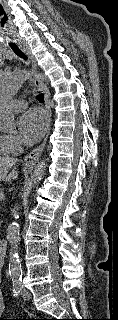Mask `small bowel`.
I'll return each mask as SVG.
<instances>
[{
    "mask_svg": "<svg viewBox=\"0 0 118 320\" xmlns=\"http://www.w3.org/2000/svg\"><path fill=\"white\" fill-rule=\"evenodd\" d=\"M1 270H2V266L0 265V284H1ZM3 310H4V301H3L2 290L0 288V316L2 315Z\"/></svg>",
    "mask_w": 118,
    "mask_h": 320,
    "instance_id": "c3829d8e",
    "label": "small bowel"
}]
</instances>
